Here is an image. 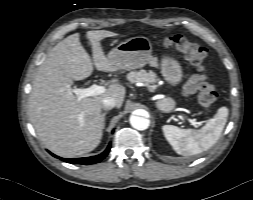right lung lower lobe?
I'll return each mask as SVG.
<instances>
[{"instance_id": "1", "label": "right lung lower lobe", "mask_w": 253, "mask_h": 200, "mask_svg": "<svg viewBox=\"0 0 253 200\" xmlns=\"http://www.w3.org/2000/svg\"><path fill=\"white\" fill-rule=\"evenodd\" d=\"M110 148H111V144L108 145V147L106 148V150H105L103 153H101V154H99V155H96V156L85 157V158H71V159H65V158L57 157V156L54 155V154H52V155L55 156V157H57V158L62 159V160L65 161V162H68V163L88 165V164H95V163H98V162H100L101 160H103V159L107 156V154L109 153Z\"/></svg>"}]
</instances>
